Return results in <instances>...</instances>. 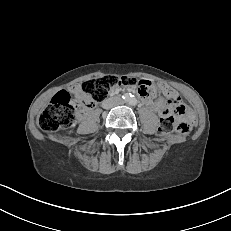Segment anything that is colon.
I'll return each mask as SVG.
<instances>
[{"label": "colon", "instance_id": "colon-1", "mask_svg": "<svg viewBox=\"0 0 231 231\" xmlns=\"http://www.w3.org/2000/svg\"><path fill=\"white\" fill-rule=\"evenodd\" d=\"M116 86H125L136 90L141 96L152 94V85L145 80H139L131 76L108 75L84 82L81 85L82 99H73L65 92H58L51 100L47 108L40 114L38 124L46 132H54L61 128L70 127L80 108H91L95 103L107 97L110 90ZM169 105L175 104L170 98H166ZM190 111L184 105H177L175 109L162 116L159 125L160 134L176 132L186 135L190 132Z\"/></svg>", "mask_w": 231, "mask_h": 231}]
</instances>
